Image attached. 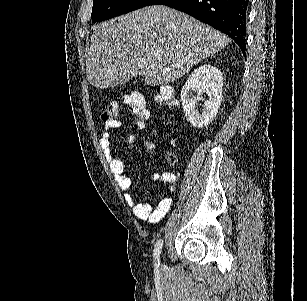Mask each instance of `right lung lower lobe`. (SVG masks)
Returning a JSON list of instances; mask_svg holds the SVG:
<instances>
[{
	"mask_svg": "<svg viewBox=\"0 0 307 301\" xmlns=\"http://www.w3.org/2000/svg\"><path fill=\"white\" fill-rule=\"evenodd\" d=\"M155 4L185 12L226 33L245 55L249 0H150L146 6Z\"/></svg>",
	"mask_w": 307,
	"mask_h": 301,
	"instance_id": "98d812e1",
	"label": "right lung lower lobe"
}]
</instances>
